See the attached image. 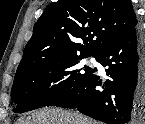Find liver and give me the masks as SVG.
Segmentation results:
<instances>
[{"label": "liver", "instance_id": "liver-1", "mask_svg": "<svg viewBox=\"0 0 145 124\" xmlns=\"http://www.w3.org/2000/svg\"><path fill=\"white\" fill-rule=\"evenodd\" d=\"M17 124H96L81 114L63 109H44L32 113Z\"/></svg>", "mask_w": 145, "mask_h": 124}]
</instances>
